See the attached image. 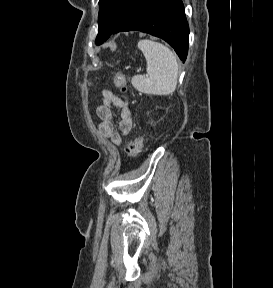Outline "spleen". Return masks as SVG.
Returning a JSON list of instances; mask_svg holds the SVG:
<instances>
[{
    "instance_id": "obj_1",
    "label": "spleen",
    "mask_w": 273,
    "mask_h": 288,
    "mask_svg": "<svg viewBox=\"0 0 273 288\" xmlns=\"http://www.w3.org/2000/svg\"><path fill=\"white\" fill-rule=\"evenodd\" d=\"M147 61V75H136L132 85L138 91L152 95H170L177 86L178 63L174 53L165 45L149 39L138 42Z\"/></svg>"
}]
</instances>
